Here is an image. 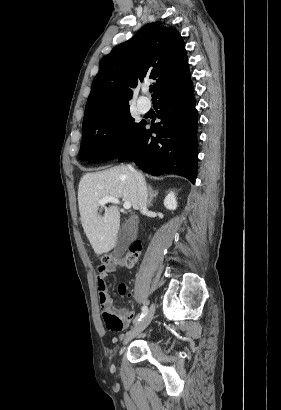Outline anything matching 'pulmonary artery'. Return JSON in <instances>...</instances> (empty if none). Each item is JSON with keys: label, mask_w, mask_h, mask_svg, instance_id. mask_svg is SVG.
Wrapping results in <instances>:
<instances>
[{"label": "pulmonary artery", "mask_w": 281, "mask_h": 410, "mask_svg": "<svg viewBox=\"0 0 281 410\" xmlns=\"http://www.w3.org/2000/svg\"><path fill=\"white\" fill-rule=\"evenodd\" d=\"M147 89H148L147 86H143V87H142V92L145 93V92L147 91ZM137 106H138L139 110H140L142 113H145V112H147V111L150 109L151 103H150V101H149L147 98L141 96V97H139L138 100H137Z\"/></svg>", "instance_id": "obj_1"}]
</instances>
